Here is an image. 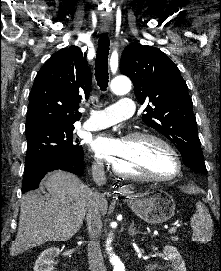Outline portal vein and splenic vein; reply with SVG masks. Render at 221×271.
<instances>
[{"label":"portal vein and splenic vein","mask_w":221,"mask_h":271,"mask_svg":"<svg viewBox=\"0 0 221 271\" xmlns=\"http://www.w3.org/2000/svg\"><path fill=\"white\" fill-rule=\"evenodd\" d=\"M177 227H170L169 233H175Z\"/></svg>","instance_id":"18ae733b"}]
</instances>
